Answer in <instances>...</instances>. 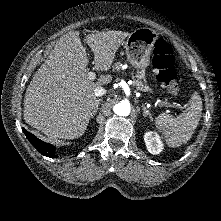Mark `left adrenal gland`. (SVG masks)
<instances>
[{
  "mask_svg": "<svg viewBox=\"0 0 221 221\" xmlns=\"http://www.w3.org/2000/svg\"><path fill=\"white\" fill-rule=\"evenodd\" d=\"M142 109H143V117L149 116V118L152 120V115L147 109V107L145 105H142Z\"/></svg>",
  "mask_w": 221,
  "mask_h": 221,
  "instance_id": "left-adrenal-gland-1",
  "label": "left adrenal gland"
}]
</instances>
